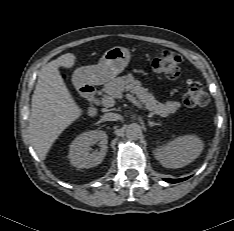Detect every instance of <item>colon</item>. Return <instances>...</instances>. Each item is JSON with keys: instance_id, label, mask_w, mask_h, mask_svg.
I'll return each instance as SVG.
<instances>
[{"instance_id": "5ec220e1", "label": "colon", "mask_w": 234, "mask_h": 231, "mask_svg": "<svg viewBox=\"0 0 234 231\" xmlns=\"http://www.w3.org/2000/svg\"><path fill=\"white\" fill-rule=\"evenodd\" d=\"M180 57L172 51H163L152 60V68L158 73L175 79L180 74ZM208 95L199 82L193 81L188 84L183 97V104L188 108L204 107L208 104Z\"/></svg>"}]
</instances>
